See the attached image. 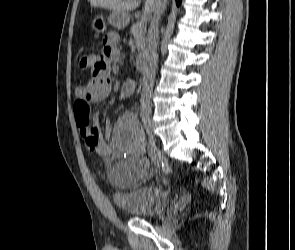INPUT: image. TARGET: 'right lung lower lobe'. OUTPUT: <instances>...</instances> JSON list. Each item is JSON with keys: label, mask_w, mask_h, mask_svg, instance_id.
<instances>
[{"label": "right lung lower lobe", "mask_w": 295, "mask_h": 250, "mask_svg": "<svg viewBox=\"0 0 295 250\" xmlns=\"http://www.w3.org/2000/svg\"><path fill=\"white\" fill-rule=\"evenodd\" d=\"M181 2V0H176L177 5H179Z\"/></svg>", "instance_id": "1"}]
</instances>
